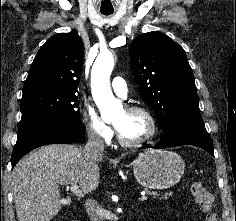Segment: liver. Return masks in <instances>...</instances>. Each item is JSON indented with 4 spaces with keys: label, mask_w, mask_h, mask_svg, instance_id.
<instances>
[{
    "label": "liver",
    "mask_w": 236,
    "mask_h": 221,
    "mask_svg": "<svg viewBox=\"0 0 236 221\" xmlns=\"http://www.w3.org/2000/svg\"><path fill=\"white\" fill-rule=\"evenodd\" d=\"M74 145L43 146L22 158L13 171L18 221H50L61 210L60 185L79 184L84 193L99 185L98 162Z\"/></svg>",
    "instance_id": "liver-1"
}]
</instances>
